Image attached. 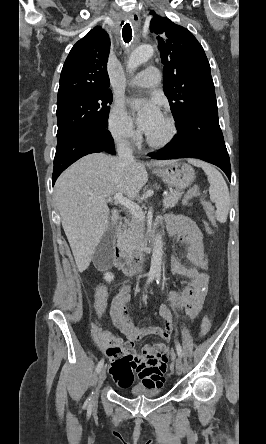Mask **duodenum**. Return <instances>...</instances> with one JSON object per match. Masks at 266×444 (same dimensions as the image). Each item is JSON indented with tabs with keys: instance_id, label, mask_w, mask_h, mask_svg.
Instances as JSON below:
<instances>
[{
	"instance_id": "obj_1",
	"label": "duodenum",
	"mask_w": 266,
	"mask_h": 444,
	"mask_svg": "<svg viewBox=\"0 0 266 444\" xmlns=\"http://www.w3.org/2000/svg\"><path fill=\"white\" fill-rule=\"evenodd\" d=\"M123 224L124 220H121L119 223V231L115 239V265L125 275L131 276L140 271L141 265L139 262L134 260L132 255L125 248Z\"/></svg>"
}]
</instances>
